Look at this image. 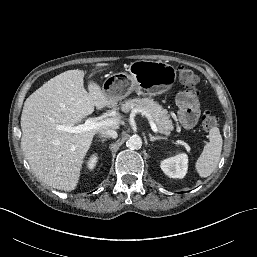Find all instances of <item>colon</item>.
Returning <instances> with one entry per match:
<instances>
[{
    "label": "colon",
    "instance_id": "obj_1",
    "mask_svg": "<svg viewBox=\"0 0 257 257\" xmlns=\"http://www.w3.org/2000/svg\"><path fill=\"white\" fill-rule=\"evenodd\" d=\"M177 75L181 84H183L187 88L192 89L196 93L200 92V81L198 76L194 72L187 68L179 67L177 69ZM200 122L202 128L205 131H210L214 127H216L218 123V116L211 110H205L201 115Z\"/></svg>",
    "mask_w": 257,
    "mask_h": 257
}]
</instances>
